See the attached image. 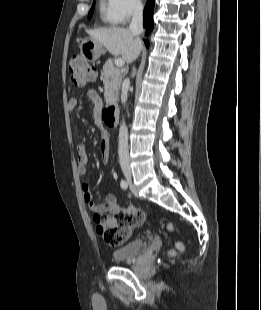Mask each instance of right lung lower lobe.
Returning <instances> with one entry per match:
<instances>
[{
	"mask_svg": "<svg viewBox=\"0 0 261 310\" xmlns=\"http://www.w3.org/2000/svg\"><path fill=\"white\" fill-rule=\"evenodd\" d=\"M155 0H148L143 13V27L146 29V35L153 29V11H154ZM148 47V41H145Z\"/></svg>",
	"mask_w": 261,
	"mask_h": 310,
	"instance_id": "right-lung-lower-lobe-1",
	"label": "right lung lower lobe"
}]
</instances>
